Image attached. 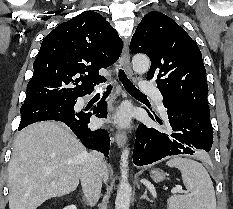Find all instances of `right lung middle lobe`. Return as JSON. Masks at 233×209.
<instances>
[{
  "mask_svg": "<svg viewBox=\"0 0 233 209\" xmlns=\"http://www.w3.org/2000/svg\"><path fill=\"white\" fill-rule=\"evenodd\" d=\"M75 99L44 100L24 103L21 106L20 126L45 120H59L67 118L74 113Z\"/></svg>",
  "mask_w": 233,
  "mask_h": 209,
  "instance_id": "dd1d6c3e",
  "label": "right lung middle lobe"
}]
</instances>
